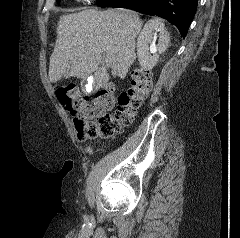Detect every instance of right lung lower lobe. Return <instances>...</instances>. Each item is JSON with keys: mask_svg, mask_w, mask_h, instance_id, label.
<instances>
[{"mask_svg": "<svg viewBox=\"0 0 240 238\" xmlns=\"http://www.w3.org/2000/svg\"><path fill=\"white\" fill-rule=\"evenodd\" d=\"M198 0H97L100 7L129 8L147 15H156L173 23L183 37L196 13Z\"/></svg>", "mask_w": 240, "mask_h": 238, "instance_id": "98d812e1", "label": "right lung lower lobe"}]
</instances>
